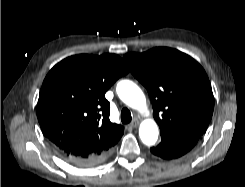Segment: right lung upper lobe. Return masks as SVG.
Returning a JSON list of instances; mask_svg holds the SVG:
<instances>
[{
	"instance_id": "1",
	"label": "right lung upper lobe",
	"mask_w": 245,
	"mask_h": 187,
	"mask_svg": "<svg viewBox=\"0 0 245 187\" xmlns=\"http://www.w3.org/2000/svg\"><path fill=\"white\" fill-rule=\"evenodd\" d=\"M128 72L115 54L75 55L50 70L40 90L37 117L59 154L84 160L116 145L124 129L110 122L105 93Z\"/></svg>"
}]
</instances>
